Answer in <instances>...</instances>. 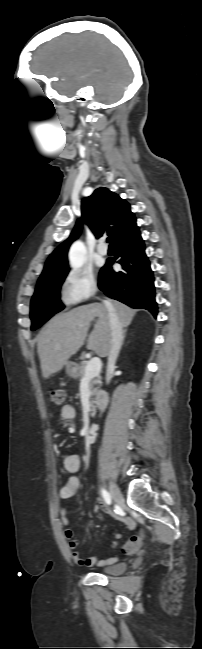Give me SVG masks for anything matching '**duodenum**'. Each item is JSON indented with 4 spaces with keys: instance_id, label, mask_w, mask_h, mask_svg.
Returning a JSON list of instances; mask_svg holds the SVG:
<instances>
[{
    "instance_id": "410a0bca",
    "label": "duodenum",
    "mask_w": 202,
    "mask_h": 649,
    "mask_svg": "<svg viewBox=\"0 0 202 649\" xmlns=\"http://www.w3.org/2000/svg\"><path fill=\"white\" fill-rule=\"evenodd\" d=\"M95 402H96V405L98 407H100V408L105 407L106 402H107V395L105 393H101V392L97 393L96 397H95Z\"/></svg>"
}]
</instances>
